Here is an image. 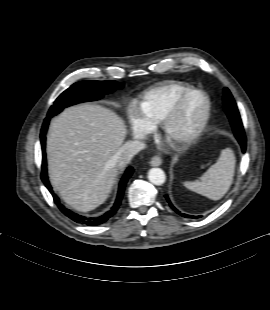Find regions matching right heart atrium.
<instances>
[{"mask_svg":"<svg viewBox=\"0 0 270 310\" xmlns=\"http://www.w3.org/2000/svg\"><path fill=\"white\" fill-rule=\"evenodd\" d=\"M128 123L131 133L136 137L146 136L152 130V128L144 122L139 110L135 106H130L128 109Z\"/></svg>","mask_w":270,"mask_h":310,"instance_id":"obj_1","label":"right heart atrium"}]
</instances>
